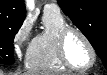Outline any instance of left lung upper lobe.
I'll return each instance as SVG.
<instances>
[{"mask_svg": "<svg viewBox=\"0 0 107 75\" xmlns=\"http://www.w3.org/2000/svg\"><path fill=\"white\" fill-rule=\"evenodd\" d=\"M86 36L107 69V0H57Z\"/></svg>", "mask_w": 107, "mask_h": 75, "instance_id": "obj_1", "label": "left lung upper lobe"}]
</instances>
